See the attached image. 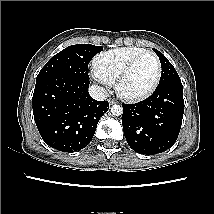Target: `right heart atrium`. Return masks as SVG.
<instances>
[{"mask_svg": "<svg viewBox=\"0 0 214 214\" xmlns=\"http://www.w3.org/2000/svg\"><path fill=\"white\" fill-rule=\"evenodd\" d=\"M93 77H94V79L97 81V82H99V83H102V84H104V85H106V86H108V85H110V83L105 79V78H103L102 76H100L98 73H96L95 71H94V73H93Z\"/></svg>", "mask_w": 214, "mask_h": 214, "instance_id": "d8ad5b80", "label": "right heart atrium"}]
</instances>
